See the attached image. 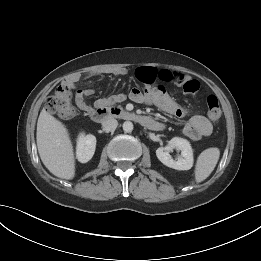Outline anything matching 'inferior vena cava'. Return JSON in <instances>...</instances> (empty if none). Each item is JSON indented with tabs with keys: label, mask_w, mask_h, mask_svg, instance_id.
Instances as JSON below:
<instances>
[{
	"label": "inferior vena cava",
	"mask_w": 261,
	"mask_h": 261,
	"mask_svg": "<svg viewBox=\"0 0 261 261\" xmlns=\"http://www.w3.org/2000/svg\"><path fill=\"white\" fill-rule=\"evenodd\" d=\"M118 126V122L114 118H108L106 121L103 122V127L107 131H114Z\"/></svg>",
	"instance_id": "1"
}]
</instances>
